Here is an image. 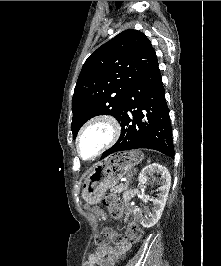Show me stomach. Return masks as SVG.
I'll return each instance as SVG.
<instances>
[{"label":"stomach","mask_w":221,"mask_h":266,"mask_svg":"<svg viewBox=\"0 0 221 266\" xmlns=\"http://www.w3.org/2000/svg\"><path fill=\"white\" fill-rule=\"evenodd\" d=\"M142 160L140 151H130L118 152L99 161L83 182V199L88 204H97L108 189Z\"/></svg>","instance_id":"1"}]
</instances>
